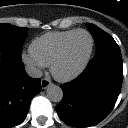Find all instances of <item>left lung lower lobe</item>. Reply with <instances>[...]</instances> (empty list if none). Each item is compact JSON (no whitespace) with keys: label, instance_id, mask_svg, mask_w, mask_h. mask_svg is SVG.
<instances>
[{"label":"left lung lower lobe","instance_id":"0a47b994","mask_svg":"<svg viewBox=\"0 0 128 128\" xmlns=\"http://www.w3.org/2000/svg\"><path fill=\"white\" fill-rule=\"evenodd\" d=\"M122 80L120 48L96 53L78 78L61 86L63 99L56 107L58 116L73 127L96 125L113 109Z\"/></svg>","mask_w":128,"mask_h":128}]
</instances>
